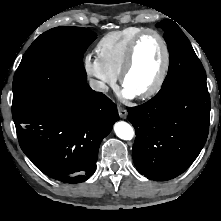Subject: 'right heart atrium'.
<instances>
[{"label":"right heart atrium","mask_w":221,"mask_h":221,"mask_svg":"<svg viewBox=\"0 0 221 221\" xmlns=\"http://www.w3.org/2000/svg\"><path fill=\"white\" fill-rule=\"evenodd\" d=\"M83 67L88 76L93 79L96 90L105 93L117 80V76L111 73L98 57L87 54L83 59Z\"/></svg>","instance_id":"1"}]
</instances>
